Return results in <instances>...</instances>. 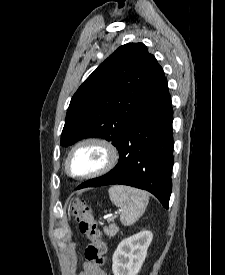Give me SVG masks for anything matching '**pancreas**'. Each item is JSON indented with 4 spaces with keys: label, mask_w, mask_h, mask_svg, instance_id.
<instances>
[{
    "label": "pancreas",
    "mask_w": 225,
    "mask_h": 275,
    "mask_svg": "<svg viewBox=\"0 0 225 275\" xmlns=\"http://www.w3.org/2000/svg\"><path fill=\"white\" fill-rule=\"evenodd\" d=\"M118 227L116 224H111L109 227H104V233L110 237H113L117 234L118 232Z\"/></svg>",
    "instance_id": "cf45deb5"
}]
</instances>
